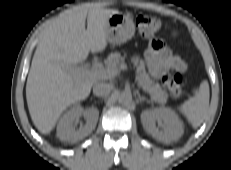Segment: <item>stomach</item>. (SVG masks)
Returning <instances> with one entry per match:
<instances>
[{
    "instance_id": "0dacf381",
    "label": "stomach",
    "mask_w": 231,
    "mask_h": 170,
    "mask_svg": "<svg viewBox=\"0 0 231 170\" xmlns=\"http://www.w3.org/2000/svg\"><path fill=\"white\" fill-rule=\"evenodd\" d=\"M135 34V25L132 17L127 14L117 13L107 21V41L113 45H120L130 40Z\"/></svg>"
}]
</instances>
